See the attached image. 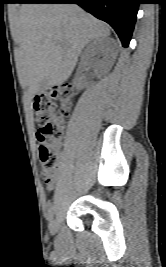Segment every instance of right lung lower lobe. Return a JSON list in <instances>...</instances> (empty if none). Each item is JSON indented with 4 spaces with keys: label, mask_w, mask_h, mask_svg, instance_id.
<instances>
[{
    "label": "right lung lower lobe",
    "mask_w": 166,
    "mask_h": 267,
    "mask_svg": "<svg viewBox=\"0 0 166 267\" xmlns=\"http://www.w3.org/2000/svg\"><path fill=\"white\" fill-rule=\"evenodd\" d=\"M20 3H76L95 17L110 24L127 47L140 0H21Z\"/></svg>",
    "instance_id": "right-lung-lower-lobe-1"
}]
</instances>
